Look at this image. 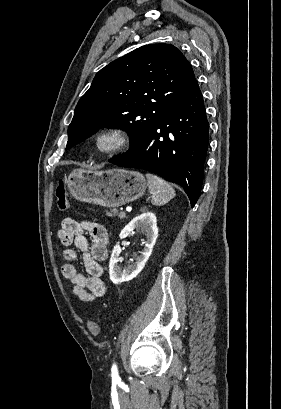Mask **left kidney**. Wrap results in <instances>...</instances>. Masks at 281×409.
<instances>
[{
  "label": "left kidney",
  "instance_id": "left-kidney-1",
  "mask_svg": "<svg viewBox=\"0 0 281 409\" xmlns=\"http://www.w3.org/2000/svg\"><path fill=\"white\" fill-rule=\"evenodd\" d=\"M138 227H141V229L145 231L146 241L144 249L140 257H137L135 263H132V265H128V267H124V269H122V267L119 265L121 247L119 243L113 247L112 255L109 261V275L114 285L125 283V281H132L134 277H137L140 271H142L143 267H145L153 251V247L158 237L157 219L154 213H151V211H146V209H142L141 215L134 217V219H132V221H130V223H128V225L122 229L119 235L120 239H126V237L131 235L134 229H138Z\"/></svg>",
  "mask_w": 281,
  "mask_h": 409
}]
</instances>
